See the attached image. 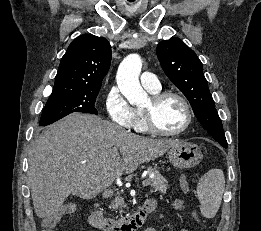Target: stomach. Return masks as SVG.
Returning <instances> with one entry per match:
<instances>
[{
  "label": "stomach",
  "mask_w": 261,
  "mask_h": 231,
  "mask_svg": "<svg viewBox=\"0 0 261 231\" xmlns=\"http://www.w3.org/2000/svg\"><path fill=\"white\" fill-rule=\"evenodd\" d=\"M169 160L174 167L180 169L192 168L199 164L203 155L196 144L181 141L168 150Z\"/></svg>",
  "instance_id": "1"
}]
</instances>
